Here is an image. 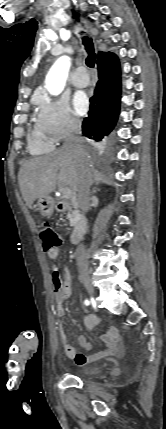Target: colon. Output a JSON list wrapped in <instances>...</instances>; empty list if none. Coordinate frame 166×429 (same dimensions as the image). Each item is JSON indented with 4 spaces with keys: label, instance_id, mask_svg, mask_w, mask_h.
<instances>
[{
    "label": "colon",
    "instance_id": "obj_1",
    "mask_svg": "<svg viewBox=\"0 0 166 429\" xmlns=\"http://www.w3.org/2000/svg\"><path fill=\"white\" fill-rule=\"evenodd\" d=\"M40 237L46 252L57 249L62 244L61 236L46 221L40 225Z\"/></svg>",
    "mask_w": 166,
    "mask_h": 429
}]
</instances>
